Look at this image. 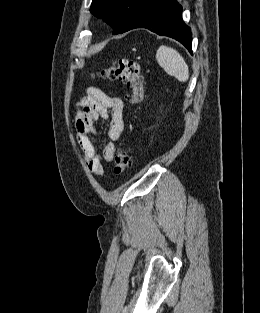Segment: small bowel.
Segmentation results:
<instances>
[{
	"mask_svg": "<svg viewBox=\"0 0 260 313\" xmlns=\"http://www.w3.org/2000/svg\"><path fill=\"white\" fill-rule=\"evenodd\" d=\"M123 101L105 94L101 89L90 86L85 96L77 104L75 127L83 159L88 170L103 176L105 169L101 157L96 151L93 136L95 122L99 119L109 120L108 135L111 140L103 149V159L111 162L115 154V141H118L124 130Z\"/></svg>",
	"mask_w": 260,
	"mask_h": 313,
	"instance_id": "1",
	"label": "small bowel"
}]
</instances>
